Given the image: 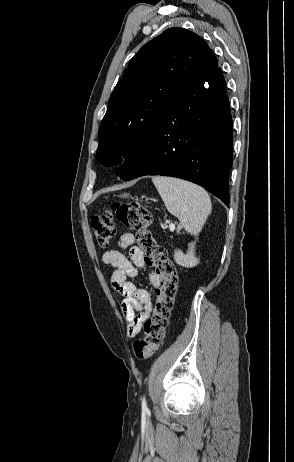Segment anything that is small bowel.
Instances as JSON below:
<instances>
[{"instance_id": "obj_1", "label": "small bowel", "mask_w": 294, "mask_h": 462, "mask_svg": "<svg viewBox=\"0 0 294 462\" xmlns=\"http://www.w3.org/2000/svg\"><path fill=\"white\" fill-rule=\"evenodd\" d=\"M134 241V235L129 232L121 234L118 240L121 249L130 248V259L119 250H108L102 255L103 262L114 268L112 287L123 296L121 311L127 321L128 337L140 333L143 323L152 314L154 304L150 291L138 288L130 281L137 275L138 269L144 266L142 251L133 246ZM148 277L152 287L157 288L159 280L155 273L150 271Z\"/></svg>"}]
</instances>
